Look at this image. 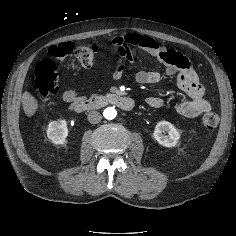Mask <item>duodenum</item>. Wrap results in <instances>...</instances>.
<instances>
[{"instance_id": "duodenum-1", "label": "duodenum", "mask_w": 236, "mask_h": 236, "mask_svg": "<svg viewBox=\"0 0 236 236\" xmlns=\"http://www.w3.org/2000/svg\"><path fill=\"white\" fill-rule=\"evenodd\" d=\"M108 104L116 105L117 107L130 111L134 108L135 102L132 98L122 95L102 96L96 95L84 98L76 103L74 106L75 112H84L88 110H95Z\"/></svg>"}]
</instances>
